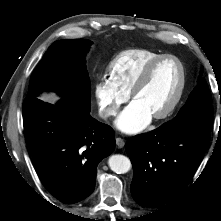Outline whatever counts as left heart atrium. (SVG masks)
Listing matches in <instances>:
<instances>
[{"label":"left heart atrium","instance_id":"left-heart-atrium-1","mask_svg":"<svg viewBox=\"0 0 221 221\" xmlns=\"http://www.w3.org/2000/svg\"><path fill=\"white\" fill-rule=\"evenodd\" d=\"M151 118V114L145 108L133 101L119 115L116 126L125 133H137L149 124Z\"/></svg>","mask_w":221,"mask_h":221}]
</instances>
